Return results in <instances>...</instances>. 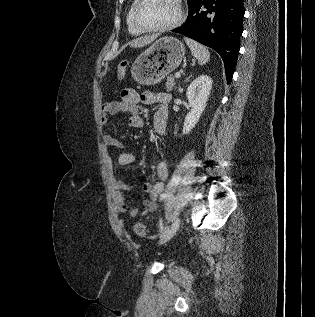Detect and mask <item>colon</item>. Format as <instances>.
Returning <instances> with one entry per match:
<instances>
[{
    "mask_svg": "<svg viewBox=\"0 0 315 317\" xmlns=\"http://www.w3.org/2000/svg\"><path fill=\"white\" fill-rule=\"evenodd\" d=\"M128 67L127 61H122L117 66V78L118 80H122L126 74ZM134 232L139 237H146L147 236V230L146 227L142 223H136L134 225Z\"/></svg>",
    "mask_w": 315,
    "mask_h": 317,
    "instance_id": "colon-1",
    "label": "colon"
}]
</instances>
